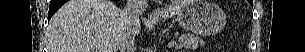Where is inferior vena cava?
I'll return each mask as SVG.
<instances>
[{
    "label": "inferior vena cava",
    "mask_w": 305,
    "mask_h": 52,
    "mask_svg": "<svg viewBox=\"0 0 305 52\" xmlns=\"http://www.w3.org/2000/svg\"><path fill=\"white\" fill-rule=\"evenodd\" d=\"M146 5L147 0H127L126 7L122 12L124 31L118 42V49L120 52L135 51V28L140 23L139 17L144 12Z\"/></svg>",
    "instance_id": "602c4592"
}]
</instances>
